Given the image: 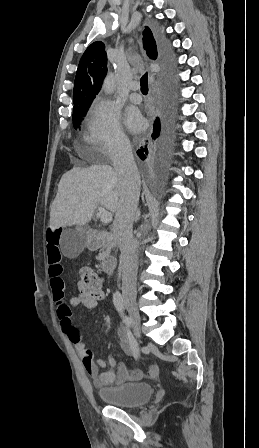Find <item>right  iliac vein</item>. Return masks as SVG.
Instances as JSON below:
<instances>
[{
  "instance_id": "1",
  "label": "right iliac vein",
  "mask_w": 259,
  "mask_h": 448,
  "mask_svg": "<svg viewBox=\"0 0 259 448\" xmlns=\"http://www.w3.org/2000/svg\"><path fill=\"white\" fill-rule=\"evenodd\" d=\"M125 306L126 309L129 312L130 315V320H131V324L134 330V333L136 335V337H140V322H141V318H140V314L137 308V304L134 300L132 299H127L125 301Z\"/></svg>"
}]
</instances>
